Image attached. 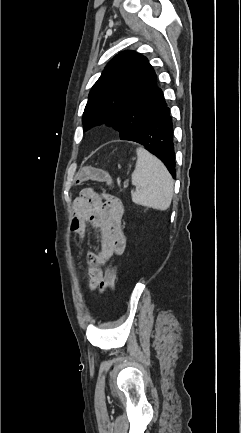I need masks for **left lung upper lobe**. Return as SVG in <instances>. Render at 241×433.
Wrapping results in <instances>:
<instances>
[{"instance_id": "1", "label": "left lung upper lobe", "mask_w": 241, "mask_h": 433, "mask_svg": "<svg viewBox=\"0 0 241 433\" xmlns=\"http://www.w3.org/2000/svg\"><path fill=\"white\" fill-rule=\"evenodd\" d=\"M164 101L148 59L134 51L121 52L107 64L90 91L83 129L106 123L126 140L148 123Z\"/></svg>"}]
</instances>
